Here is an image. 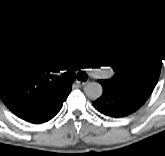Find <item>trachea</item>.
Returning <instances> with one entry per match:
<instances>
[{"label": "trachea", "instance_id": "3493384b", "mask_svg": "<svg viewBox=\"0 0 165 156\" xmlns=\"http://www.w3.org/2000/svg\"><path fill=\"white\" fill-rule=\"evenodd\" d=\"M88 78L87 74H85L84 72H78L77 74V79L78 80H82V81H86ZM76 79V74L75 72H72V71H69V72H66L64 73L59 81L62 82V83H66V82H72Z\"/></svg>", "mask_w": 165, "mask_h": 156}]
</instances>
